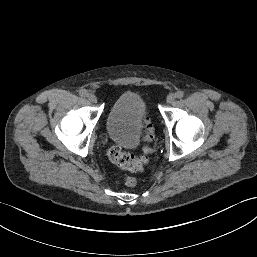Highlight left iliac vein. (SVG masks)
Instances as JSON below:
<instances>
[{"mask_svg": "<svg viewBox=\"0 0 257 257\" xmlns=\"http://www.w3.org/2000/svg\"><path fill=\"white\" fill-rule=\"evenodd\" d=\"M174 100H175V94L171 93L167 96V99H166L167 103L171 104L174 102Z\"/></svg>", "mask_w": 257, "mask_h": 257, "instance_id": "obj_1", "label": "left iliac vein"}]
</instances>
